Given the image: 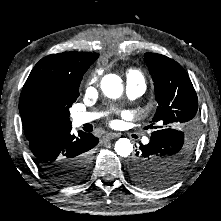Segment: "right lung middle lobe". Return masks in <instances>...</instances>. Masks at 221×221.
Masks as SVG:
<instances>
[{"label": "right lung middle lobe", "instance_id": "right-lung-middle-lobe-1", "mask_svg": "<svg viewBox=\"0 0 221 221\" xmlns=\"http://www.w3.org/2000/svg\"><path fill=\"white\" fill-rule=\"evenodd\" d=\"M82 76L77 83V89ZM79 96L78 90H70L61 85H45L34 89L26 101V113L34 120L49 121L69 118V108ZM83 159L71 163V168L84 170Z\"/></svg>", "mask_w": 221, "mask_h": 221}]
</instances>
